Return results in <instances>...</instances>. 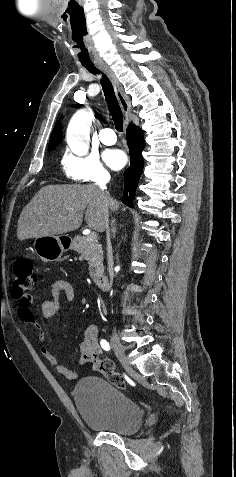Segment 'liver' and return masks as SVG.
I'll return each mask as SVG.
<instances>
[{
    "mask_svg": "<svg viewBox=\"0 0 236 477\" xmlns=\"http://www.w3.org/2000/svg\"><path fill=\"white\" fill-rule=\"evenodd\" d=\"M115 211L119 202L109 197ZM103 194L94 185H48L42 187L21 212L17 226L19 240L62 235L78 229L85 220L103 231ZM86 210V211H85Z\"/></svg>",
    "mask_w": 236,
    "mask_h": 477,
    "instance_id": "liver-1",
    "label": "liver"
}]
</instances>
